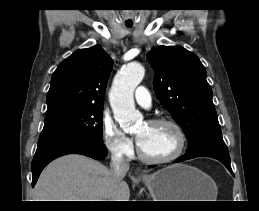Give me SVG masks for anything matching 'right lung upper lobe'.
I'll use <instances>...</instances> for the list:
<instances>
[{
    "instance_id": "1",
    "label": "right lung upper lobe",
    "mask_w": 259,
    "mask_h": 211,
    "mask_svg": "<svg viewBox=\"0 0 259 211\" xmlns=\"http://www.w3.org/2000/svg\"><path fill=\"white\" fill-rule=\"evenodd\" d=\"M112 60L99 46L75 51L52 75L45 122L87 107L103 106Z\"/></svg>"
}]
</instances>
